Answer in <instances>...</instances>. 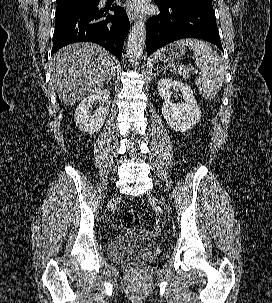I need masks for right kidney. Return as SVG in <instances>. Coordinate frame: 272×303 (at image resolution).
<instances>
[{"label":"right kidney","instance_id":"1","mask_svg":"<svg viewBox=\"0 0 272 303\" xmlns=\"http://www.w3.org/2000/svg\"><path fill=\"white\" fill-rule=\"evenodd\" d=\"M99 102V108L91 114L89 108ZM110 107V91L100 90L83 99L75 111V121L81 131L89 134L100 131L108 115Z\"/></svg>","mask_w":272,"mask_h":303}]
</instances>
